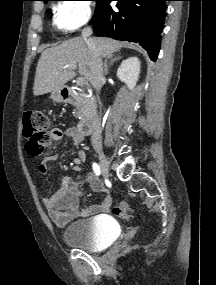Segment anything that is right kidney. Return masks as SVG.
Masks as SVG:
<instances>
[{"label":"right kidney","instance_id":"ca27d5eb","mask_svg":"<svg viewBox=\"0 0 216 285\" xmlns=\"http://www.w3.org/2000/svg\"><path fill=\"white\" fill-rule=\"evenodd\" d=\"M140 61L137 57H130L122 61L117 70V77L124 82L130 90H133L139 79Z\"/></svg>","mask_w":216,"mask_h":285}]
</instances>
